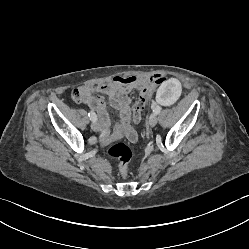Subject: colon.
I'll use <instances>...</instances> for the list:
<instances>
[{
  "instance_id": "5ec220e1",
  "label": "colon",
  "mask_w": 249,
  "mask_h": 249,
  "mask_svg": "<svg viewBox=\"0 0 249 249\" xmlns=\"http://www.w3.org/2000/svg\"><path fill=\"white\" fill-rule=\"evenodd\" d=\"M160 77H161V82H162L164 79L162 76H160ZM72 98L77 103L82 101V95L79 92V90L74 91V93L72 94ZM147 101L148 100L145 96H140L138 101L136 102V104L134 106V119L136 122L141 121L142 112L144 111V109L147 105ZM106 153L108 156L116 158L119 160L120 171H121L122 175L125 176L127 173L128 164H129L131 157H132V152H131L130 148L122 142H116L107 148Z\"/></svg>"
}]
</instances>
